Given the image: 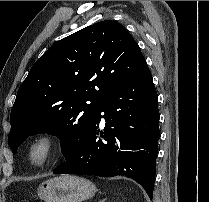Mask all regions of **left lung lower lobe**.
<instances>
[{
	"label": "left lung lower lobe",
	"mask_w": 209,
	"mask_h": 202,
	"mask_svg": "<svg viewBox=\"0 0 209 202\" xmlns=\"http://www.w3.org/2000/svg\"><path fill=\"white\" fill-rule=\"evenodd\" d=\"M102 117L104 131L97 126ZM159 118L157 92L145 63L97 104L84 138L53 173L126 176L141 184L152 199Z\"/></svg>",
	"instance_id": "obj_1"
}]
</instances>
